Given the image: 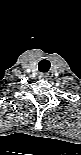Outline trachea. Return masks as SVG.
Masks as SVG:
<instances>
[{
  "label": "trachea",
  "instance_id": "obj_1",
  "mask_svg": "<svg viewBox=\"0 0 81 155\" xmlns=\"http://www.w3.org/2000/svg\"><path fill=\"white\" fill-rule=\"evenodd\" d=\"M39 71L41 72H47L50 68V63L48 60H41L38 65Z\"/></svg>",
  "mask_w": 81,
  "mask_h": 155
}]
</instances>
